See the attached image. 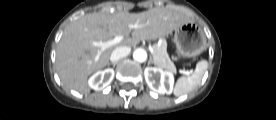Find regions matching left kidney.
Returning <instances> with one entry per match:
<instances>
[{
  "instance_id": "1",
  "label": "left kidney",
  "mask_w": 276,
  "mask_h": 120,
  "mask_svg": "<svg viewBox=\"0 0 276 120\" xmlns=\"http://www.w3.org/2000/svg\"><path fill=\"white\" fill-rule=\"evenodd\" d=\"M144 76L149 88L159 94L170 93L174 84V76L169 71L157 67H146Z\"/></svg>"
}]
</instances>
